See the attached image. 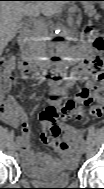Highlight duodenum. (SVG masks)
I'll list each match as a JSON object with an SVG mask.
<instances>
[{
	"label": "duodenum",
	"mask_w": 104,
	"mask_h": 189,
	"mask_svg": "<svg viewBox=\"0 0 104 189\" xmlns=\"http://www.w3.org/2000/svg\"><path fill=\"white\" fill-rule=\"evenodd\" d=\"M32 26V21L25 22V29L22 32L19 41L20 47L24 54L25 64L35 75H41L42 69L38 63L37 52L33 46V40L30 33V28ZM76 56L85 57V50L83 47H77L75 50Z\"/></svg>",
	"instance_id": "410a0bca"
}]
</instances>
